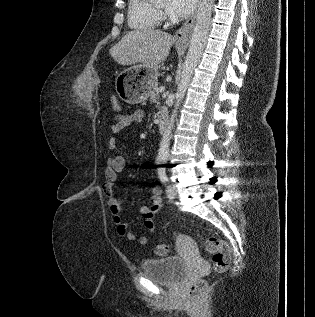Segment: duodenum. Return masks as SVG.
Returning a JSON list of instances; mask_svg holds the SVG:
<instances>
[{
	"mask_svg": "<svg viewBox=\"0 0 315 317\" xmlns=\"http://www.w3.org/2000/svg\"><path fill=\"white\" fill-rule=\"evenodd\" d=\"M168 122V112L166 109H160L158 114V129L160 133H163Z\"/></svg>",
	"mask_w": 315,
	"mask_h": 317,
	"instance_id": "duodenum-1",
	"label": "duodenum"
}]
</instances>
